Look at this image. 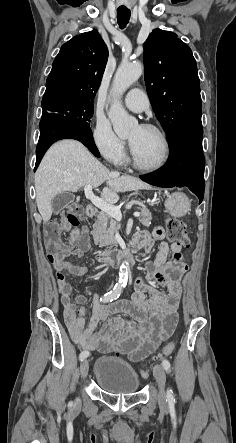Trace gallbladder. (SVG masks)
<instances>
[{
  "mask_svg": "<svg viewBox=\"0 0 236 443\" xmlns=\"http://www.w3.org/2000/svg\"><path fill=\"white\" fill-rule=\"evenodd\" d=\"M75 197L70 192H63L57 194L51 201L52 210L54 213L58 214L67 205L74 201Z\"/></svg>",
  "mask_w": 236,
  "mask_h": 443,
  "instance_id": "obj_1",
  "label": "gallbladder"
}]
</instances>
